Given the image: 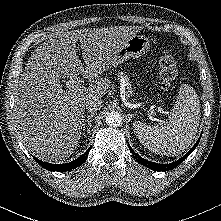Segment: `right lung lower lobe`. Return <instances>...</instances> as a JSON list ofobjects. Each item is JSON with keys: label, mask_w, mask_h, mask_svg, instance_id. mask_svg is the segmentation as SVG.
<instances>
[{"label": "right lung lower lobe", "mask_w": 221, "mask_h": 221, "mask_svg": "<svg viewBox=\"0 0 221 221\" xmlns=\"http://www.w3.org/2000/svg\"><path fill=\"white\" fill-rule=\"evenodd\" d=\"M90 149H91V147L87 150V152H85L79 158L73 160L72 162L65 163V164H50V163H46L44 161H41L35 157H34V159L36 160V162L39 165H41L43 168H45L49 171H59V172L69 171V170H72V169L80 166L81 164H83L86 161Z\"/></svg>", "instance_id": "right-lung-lower-lobe-1"}]
</instances>
